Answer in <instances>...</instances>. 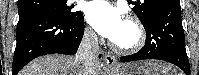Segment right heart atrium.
Instances as JSON below:
<instances>
[{
    "mask_svg": "<svg viewBox=\"0 0 199 75\" xmlns=\"http://www.w3.org/2000/svg\"><path fill=\"white\" fill-rule=\"evenodd\" d=\"M84 37L87 41L91 42V43H94L96 42L97 40V36H96V33L94 32V30L87 26L85 28V31H84Z\"/></svg>",
    "mask_w": 199,
    "mask_h": 75,
    "instance_id": "1",
    "label": "right heart atrium"
}]
</instances>
